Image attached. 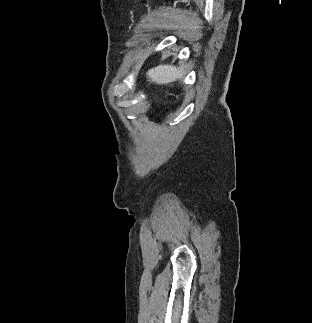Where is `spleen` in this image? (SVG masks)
<instances>
[{
  "label": "spleen",
  "instance_id": "obj_1",
  "mask_svg": "<svg viewBox=\"0 0 312 323\" xmlns=\"http://www.w3.org/2000/svg\"><path fill=\"white\" fill-rule=\"evenodd\" d=\"M148 78L155 82V84H170V82H175L177 78L183 76L181 70H177L175 66H157V68H152L147 72Z\"/></svg>",
  "mask_w": 312,
  "mask_h": 323
}]
</instances>
